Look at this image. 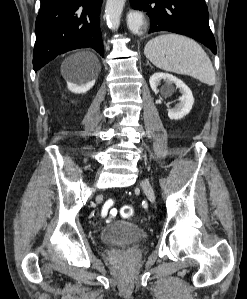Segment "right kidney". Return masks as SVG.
Listing matches in <instances>:
<instances>
[{"label": "right kidney", "instance_id": "right-kidney-1", "mask_svg": "<svg viewBox=\"0 0 247 299\" xmlns=\"http://www.w3.org/2000/svg\"><path fill=\"white\" fill-rule=\"evenodd\" d=\"M95 84V80H92L85 84H71L68 83V89L76 94H83L89 91Z\"/></svg>", "mask_w": 247, "mask_h": 299}]
</instances>
